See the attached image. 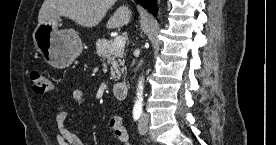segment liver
Returning <instances> with one entry per match:
<instances>
[{
    "label": "liver",
    "instance_id": "6515ba94",
    "mask_svg": "<svg viewBox=\"0 0 276 145\" xmlns=\"http://www.w3.org/2000/svg\"><path fill=\"white\" fill-rule=\"evenodd\" d=\"M116 0H44L38 15V23L48 22L60 16L67 17L83 27L97 26ZM131 19L128 7L121 6L108 20L107 28L127 25Z\"/></svg>",
    "mask_w": 276,
    "mask_h": 145
}]
</instances>
